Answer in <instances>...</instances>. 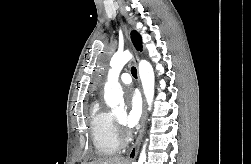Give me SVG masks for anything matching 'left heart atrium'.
<instances>
[{"label": "left heart atrium", "instance_id": "obj_1", "mask_svg": "<svg viewBox=\"0 0 251 164\" xmlns=\"http://www.w3.org/2000/svg\"><path fill=\"white\" fill-rule=\"evenodd\" d=\"M129 108L125 118V124L128 127H134L140 120L142 113V100L137 91H131L128 95Z\"/></svg>", "mask_w": 251, "mask_h": 164}]
</instances>
